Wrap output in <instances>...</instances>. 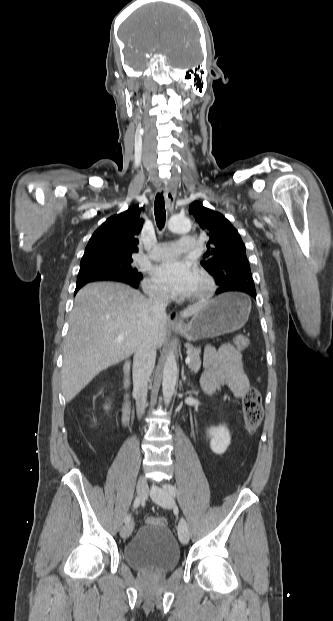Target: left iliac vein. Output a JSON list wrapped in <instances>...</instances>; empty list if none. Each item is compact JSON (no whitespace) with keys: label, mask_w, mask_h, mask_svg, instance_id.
<instances>
[{"label":"left iliac vein","mask_w":333,"mask_h":621,"mask_svg":"<svg viewBox=\"0 0 333 621\" xmlns=\"http://www.w3.org/2000/svg\"><path fill=\"white\" fill-rule=\"evenodd\" d=\"M150 496L156 504L163 508H171L174 505L172 496L164 487L159 488L153 485ZM178 537L183 544H187L189 541V530L184 518H181L178 524Z\"/></svg>","instance_id":"obj_1"}]
</instances>
